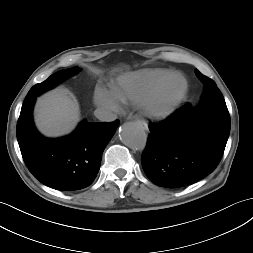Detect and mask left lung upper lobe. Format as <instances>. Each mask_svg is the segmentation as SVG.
<instances>
[{
	"instance_id": "left-lung-upper-lobe-1",
	"label": "left lung upper lobe",
	"mask_w": 253,
	"mask_h": 253,
	"mask_svg": "<svg viewBox=\"0 0 253 253\" xmlns=\"http://www.w3.org/2000/svg\"><path fill=\"white\" fill-rule=\"evenodd\" d=\"M195 74L204 85L201 100L195 107H201L208 103H225L222 93L213 80L202 75L197 69L195 70Z\"/></svg>"
}]
</instances>
